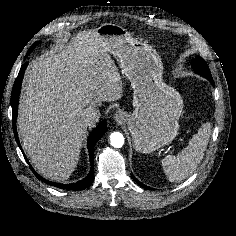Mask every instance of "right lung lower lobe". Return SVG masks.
I'll use <instances>...</instances> for the list:
<instances>
[{"label":"right lung lower lobe","instance_id":"1","mask_svg":"<svg viewBox=\"0 0 236 236\" xmlns=\"http://www.w3.org/2000/svg\"><path fill=\"white\" fill-rule=\"evenodd\" d=\"M27 63L23 64L20 68V72L15 80V83L13 85L12 88V93H11V106H12V114H13V119H12V123H13V130H14V135H15V139L17 144L19 145L21 151L23 152L21 146H20V142L18 139V134H17V129H16V119H17V114H18V97H19V93H20V88H21V83H22V79L24 76V71L25 68L27 67ZM107 130V124H106V120H103L100 125L93 130V132L90 134L87 144H88V150H89V157H90V161H91V171L90 173L87 175L86 178H84L83 180L76 182V183H72V184H59V183H55V182H51L48 181L46 179H44L43 177H41L39 174H37L35 172V170L31 167L30 163L28 162V160L26 159V156L24 155L26 161L28 162L30 168L32 169V171L34 172L35 176L44 181L45 183L51 184L55 187L61 188V189H66V190H83L86 187H88L92 182H93V178H94V168H93V159H94V146L95 144L98 142V140L103 136V134L106 132Z\"/></svg>","mask_w":236,"mask_h":236}]
</instances>
